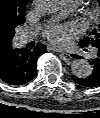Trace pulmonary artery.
Segmentation results:
<instances>
[{
    "label": "pulmonary artery",
    "instance_id": "pulmonary-artery-1",
    "mask_svg": "<svg viewBox=\"0 0 100 118\" xmlns=\"http://www.w3.org/2000/svg\"><path fill=\"white\" fill-rule=\"evenodd\" d=\"M78 5V2L72 0H63L64 12H70L74 10ZM39 31L38 27H31L27 29L23 34V40L29 41L31 40ZM95 54V50H92L91 55Z\"/></svg>",
    "mask_w": 100,
    "mask_h": 118
}]
</instances>
